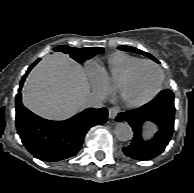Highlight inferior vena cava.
<instances>
[{
    "label": "inferior vena cava",
    "instance_id": "602c4592",
    "mask_svg": "<svg viewBox=\"0 0 194 193\" xmlns=\"http://www.w3.org/2000/svg\"><path fill=\"white\" fill-rule=\"evenodd\" d=\"M104 96L100 93H91L86 99V106L93 108L103 107Z\"/></svg>",
    "mask_w": 194,
    "mask_h": 193
}]
</instances>
